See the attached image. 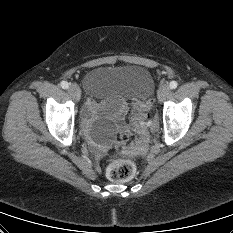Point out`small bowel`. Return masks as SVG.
I'll return each instance as SVG.
<instances>
[{"instance_id": "1", "label": "small bowel", "mask_w": 233, "mask_h": 233, "mask_svg": "<svg viewBox=\"0 0 233 233\" xmlns=\"http://www.w3.org/2000/svg\"><path fill=\"white\" fill-rule=\"evenodd\" d=\"M97 108V105L93 101H89L86 106V113L90 114Z\"/></svg>"}]
</instances>
